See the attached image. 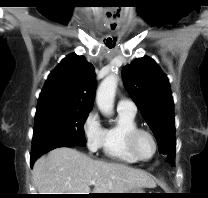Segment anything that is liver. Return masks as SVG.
Instances as JSON below:
<instances>
[{
  "label": "liver",
  "instance_id": "liver-1",
  "mask_svg": "<svg viewBox=\"0 0 208 198\" xmlns=\"http://www.w3.org/2000/svg\"><path fill=\"white\" fill-rule=\"evenodd\" d=\"M33 181L39 194L125 193L156 186L148 173L120 163L93 160L76 149L61 147L40 157L33 166Z\"/></svg>",
  "mask_w": 208,
  "mask_h": 198
}]
</instances>
